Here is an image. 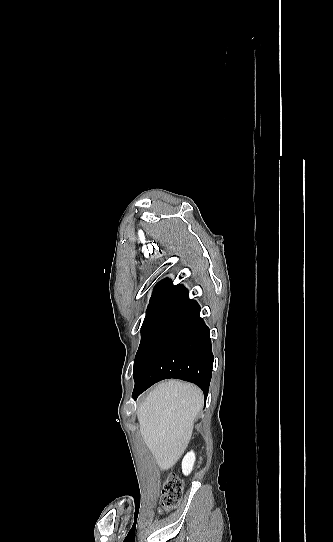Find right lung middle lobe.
<instances>
[{
	"label": "right lung middle lobe",
	"instance_id": "dd1d6c3e",
	"mask_svg": "<svg viewBox=\"0 0 333 542\" xmlns=\"http://www.w3.org/2000/svg\"><path fill=\"white\" fill-rule=\"evenodd\" d=\"M155 306H156V304H149V306H148L146 317H145V320H144L143 325H142V334H143V331L145 329L148 318H149L151 312L154 310Z\"/></svg>",
	"mask_w": 333,
	"mask_h": 542
}]
</instances>
